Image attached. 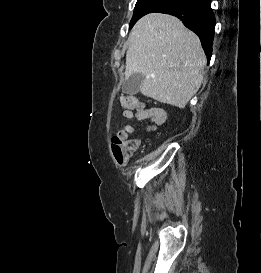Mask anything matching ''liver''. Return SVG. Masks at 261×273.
Instances as JSON below:
<instances>
[{"label": "liver", "mask_w": 261, "mask_h": 273, "mask_svg": "<svg viewBox=\"0 0 261 273\" xmlns=\"http://www.w3.org/2000/svg\"><path fill=\"white\" fill-rule=\"evenodd\" d=\"M207 63L198 36L171 15L142 17L129 36L125 79L141 73V93L184 108L197 93Z\"/></svg>", "instance_id": "6515ba94"}]
</instances>
